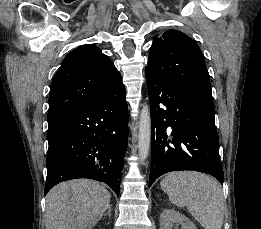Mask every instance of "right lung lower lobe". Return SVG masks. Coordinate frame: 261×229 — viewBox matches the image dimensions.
<instances>
[{"label":"right lung lower lobe","instance_id":"right-lung-lower-lobe-1","mask_svg":"<svg viewBox=\"0 0 261 229\" xmlns=\"http://www.w3.org/2000/svg\"><path fill=\"white\" fill-rule=\"evenodd\" d=\"M44 192L78 178L101 181L119 196L128 141V110L122 79L48 130Z\"/></svg>","mask_w":261,"mask_h":229}]
</instances>
